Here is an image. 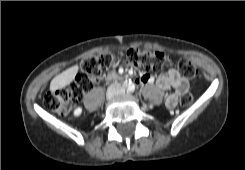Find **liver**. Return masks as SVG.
<instances>
[{
  "label": "liver",
  "mask_w": 245,
  "mask_h": 170,
  "mask_svg": "<svg viewBox=\"0 0 245 170\" xmlns=\"http://www.w3.org/2000/svg\"><path fill=\"white\" fill-rule=\"evenodd\" d=\"M78 69L79 67L75 65L55 76L50 83V91L54 92L69 85L75 79Z\"/></svg>",
  "instance_id": "obj_1"
}]
</instances>
